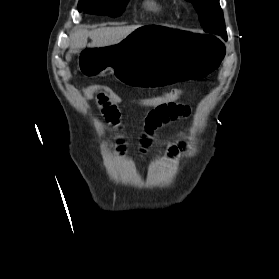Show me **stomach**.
Returning a JSON list of instances; mask_svg holds the SVG:
<instances>
[{
  "label": "stomach",
  "mask_w": 279,
  "mask_h": 279,
  "mask_svg": "<svg viewBox=\"0 0 279 279\" xmlns=\"http://www.w3.org/2000/svg\"><path fill=\"white\" fill-rule=\"evenodd\" d=\"M104 50H80L76 69L89 82L116 75L135 91H165L180 82H212L227 55L216 38L175 25H136Z\"/></svg>",
  "instance_id": "1"
}]
</instances>
